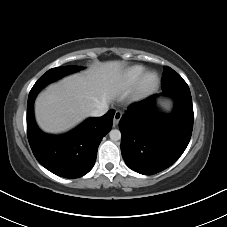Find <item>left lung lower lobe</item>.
<instances>
[{
    "instance_id": "1",
    "label": "left lung lower lobe",
    "mask_w": 227,
    "mask_h": 227,
    "mask_svg": "<svg viewBox=\"0 0 227 227\" xmlns=\"http://www.w3.org/2000/svg\"><path fill=\"white\" fill-rule=\"evenodd\" d=\"M162 95L175 101L171 114L156 112V94L131 104L119 122L122 157L140 174H156L171 166L191 138L194 115L190 91H164Z\"/></svg>"
}]
</instances>
